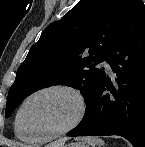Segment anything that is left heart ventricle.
Segmentation results:
<instances>
[{"label": "left heart ventricle", "mask_w": 145, "mask_h": 147, "mask_svg": "<svg viewBox=\"0 0 145 147\" xmlns=\"http://www.w3.org/2000/svg\"><path fill=\"white\" fill-rule=\"evenodd\" d=\"M77 109L76 100L65 92L38 95L23 110L21 131L27 135H36L58 130L73 120Z\"/></svg>", "instance_id": "1"}]
</instances>
